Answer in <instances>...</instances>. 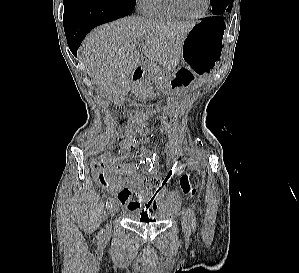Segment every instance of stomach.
<instances>
[{
    "label": "stomach",
    "mask_w": 299,
    "mask_h": 273,
    "mask_svg": "<svg viewBox=\"0 0 299 273\" xmlns=\"http://www.w3.org/2000/svg\"><path fill=\"white\" fill-rule=\"evenodd\" d=\"M225 27L224 20L216 16L196 23L183 42L182 54L187 67H175L176 74L164 77L161 89L168 94L187 90L198 81L197 75L213 74L223 52Z\"/></svg>",
    "instance_id": "obj_1"
}]
</instances>
